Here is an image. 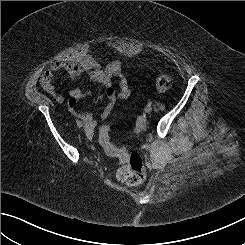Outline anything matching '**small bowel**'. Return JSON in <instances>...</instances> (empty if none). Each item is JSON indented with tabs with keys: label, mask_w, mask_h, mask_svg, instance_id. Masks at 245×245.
<instances>
[{
	"label": "small bowel",
	"mask_w": 245,
	"mask_h": 245,
	"mask_svg": "<svg viewBox=\"0 0 245 245\" xmlns=\"http://www.w3.org/2000/svg\"><path fill=\"white\" fill-rule=\"evenodd\" d=\"M65 71L71 77L87 75L89 79L99 83L106 90L107 103L100 115L101 120H105L114 109L117 99H127L130 96V89L125 77L122 74V64L119 61H112L107 65H102L99 61L91 56L73 60L59 61L53 63L42 75L41 85L57 103H63L65 97L56 92L53 85L55 74L59 71ZM118 79V88L113 87V82ZM68 108L76 117L85 122L87 129L93 130L96 126V118L77 109V103L80 100L91 96L90 92H83L78 88L69 91Z\"/></svg>",
	"instance_id": "1"
}]
</instances>
